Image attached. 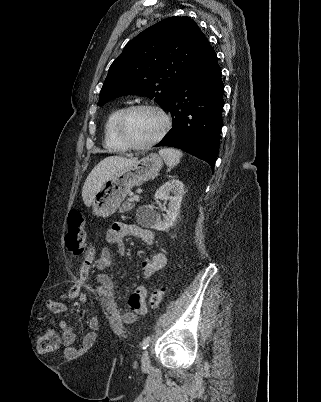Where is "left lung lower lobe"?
<instances>
[{"label": "left lung lower lobe", "instance_id": "left-lung-lower-lobe-1", "mask_svg": "<svg viewBox=\"0 0 321 402\" xmlns=\"http://www.w3.org/2000/svg\"><path fill=\"white\" fill-rule=\"evenodd\" d=\"M223 93L221 68L208 43L173 91L166 107L172 115V129L156 146L182 149L214 169L220 144Z\"/></svg>", "mask_w": 321, "mask_h": 402}]
</instances>
